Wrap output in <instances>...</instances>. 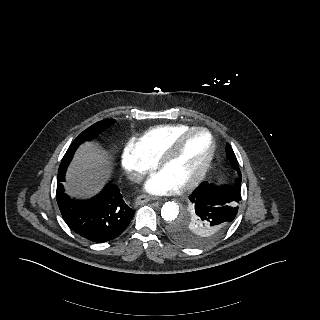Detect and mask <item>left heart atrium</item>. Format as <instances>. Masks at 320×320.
<instances>
[{"instance_id": "1", "label": "left heart atrium", "mask_w": 320, "mask_h": 320, "mask_svg": "<svg viewBox=\"0 0 320 320\" xmlns=\"http://www.w3.org/2000/svg\"><path fill=\"white\" fill-rule=\"evenodd\" d=\"M177 185L163 173L152 175L145 183V190L151 194H166L177 189Z\"/></svg>"}]
</instances>
